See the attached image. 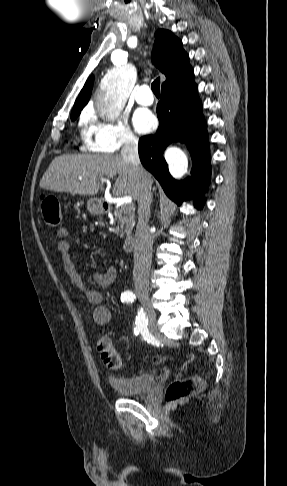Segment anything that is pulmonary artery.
I'll return each mask as SVG.
<instances>
[{"label":"pulmonary artery","mask_w":287,"mask_h":486,"mask_svg":"<svg viewBox=\"0 0 287 486\" xmlns=\"http://www.w3.org/2000/svg\"><path fill=\"white\" fill-rule=\"evenodd\" d=\"M135 99L141 105H151L154 97L148 85L140 86L135 92Z\"/></svg>","instance_id":"1"}]
</instances>
